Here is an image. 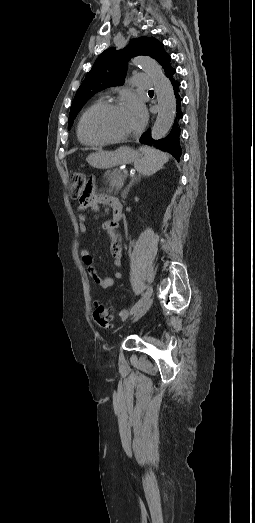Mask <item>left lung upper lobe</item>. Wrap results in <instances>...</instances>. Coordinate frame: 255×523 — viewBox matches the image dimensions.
Listing matches in <instances>:
<instances>
[{"instance_id": "1", "label": "left lung upper lobe", "mask_w": 255, "mask_h": 523, "mask_svg": "<svg viewBox=\"0 0 255 523\" xmlns=\"http://www.w3.org/2000/svg\"><path fill=\"white\" fill-rule=\"evenodd\" d=\"M137 55H148L157 60L168 78L176 72L170 64L171 57L165 52L163 44L154 37L133 39L126 48L119 51H116L115 48L105 50L95 61L75 94L70 109L68 129L72 126L81 108L95 93L110 86L123 84L127 62L131 57ZM178 141L180 143V140ZM181 153L182 149L180 156ZM171 154L173 155V153Z\"/></svg>"}]
</instances>
